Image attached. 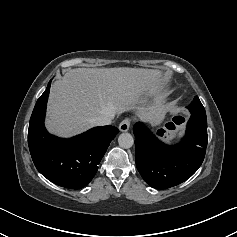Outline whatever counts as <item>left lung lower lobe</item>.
Listing matches in <instances>:
<instances>
[{"instance_id": "left-lung-lower-lobe-1", "label": "left lung lower lobe", "mask_w": 237, "mask_h": 237, "mask_svg": "<svg viewBox=\"0 0 237 237\" xmlns=\"http://www.w3.org/2000/svg\"><path fill=\"white\" fill-rule=\"evenodd\" d=\"M173 123H168L167 128ZM135 160L142 178L153 188L166 189L190 178L202 164L207 147V119L191 116L186 135L176 145L161 142L142 123L133 127ZM165 131L158 130L162 136Z\"/></svg>"}]
</instances>
